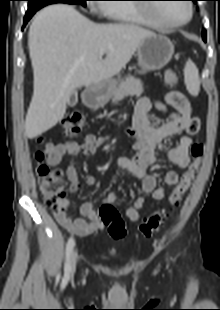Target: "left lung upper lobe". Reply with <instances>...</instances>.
Segmentation results:
<instances>
[{"mask_svg": "<svg viewBox=\"0 0 220 310\" xmlns=\"http://www.w3.org/2000/svg\"><path fill=\"white\" fill-rule=\"evenodd\" d=\"M194 3H196L198 0H192ZM202 36H203V40L206 41V31L205 29L202 30Z\"/></svg>", "mask_w": 220, "mask_h": 310, "instance_id": "5c2ea615", "label": "left lung upper lobe"}]
</instances>
